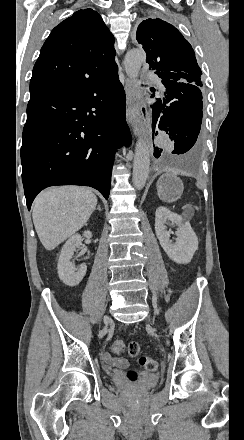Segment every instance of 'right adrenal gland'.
Segmentation results:
<instances>
[{
    "label": "right adrenal gland",
    "instance_id": "obj_1",
    "mask_svg": "<svg viewBox=\"0 0 244 440\" xmlns=\"http://www.w3.org/2000/svg\"><path fill=\"white\" fill-rule=\"evenodd\" d=\"M96 210H99V212H101L100 206H97Z\"/></svg>",
    "mask_w": 244,
    "mask_h": 440
}]
</instances>
